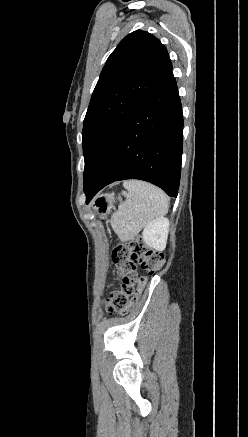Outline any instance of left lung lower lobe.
<instances>
[{"label": "left lung lower lobe", "instance_id": "1", "mask_svg": "<svg viewBox=\"0 0 248 437\" xmlns=\"http://www.w3.org/2000/svg\"><path fill=\"white\" fill-rule=\"evenodd\" d=\"M183 115L172 71L136 109L118 133L96 178L85 191L86 203L106 185L141 179L178 194Z\"/></svg>", "mask_w": 248, "mask_h": 437}]
</instances>
